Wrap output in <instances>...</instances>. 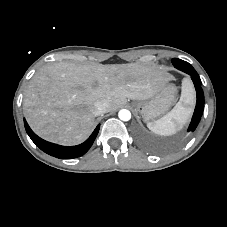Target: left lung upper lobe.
Segmentation results:
<instances>
[{
    "label": "left lung upper lobe",
    "mask_w": 227,
    "mask_h": 227,
    "mask_svg": "<svg viewBox=\"0 0 227 227\" xmlns=\"http://www.w3.org/2000/svg\"><path fill=\"white\" fill-rule=\"evenodd\" d=\"M182 61H183V60H180V59H177V58H173V59H172L173 65L178 64V63H181Z\"/></svg>",
    "instance_id": "left-lung-upper-lobe-1"
}]
</instances>
